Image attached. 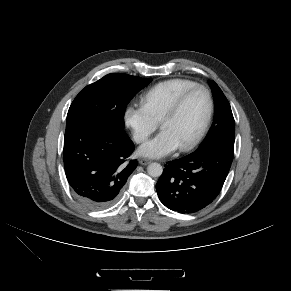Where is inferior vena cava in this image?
<instances>
[{
	"label": "inferior vena cava",
	"instance_id": "602c4592",
	"mask_svg": "<svg viewBox=\"0 0 291 291\" xmlns=\"http://www.w3.org/2000/svg\"><path fill=\"white\" fill-rule=\"evenodd\" d=\"M135 140H136V141H141L142 138H141L140 136H137V137L135 138Z\"/></svg>",
	"mask_w": 291,
	"mask_h": 291
}]
</instances>
